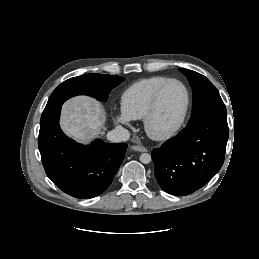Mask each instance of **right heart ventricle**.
<instances>
[{"mask_svg": "<svg viewBox=\"0 0 259 259\" xmlns=\"http://www.w3.org/2000/svg\"><path fill=\"white\" fill-rule=\"evenodd\" d=\"M167 79L152 76L134 82L121 94V108L132 119H141L147 112L156 89Z\"/></svg>", "mask_w": 259, "mask_h": 259, "instance_id": "right-heart-ventricle-1", "label": "right heart ventricle"}]
</instances>
